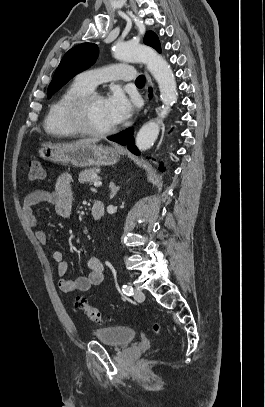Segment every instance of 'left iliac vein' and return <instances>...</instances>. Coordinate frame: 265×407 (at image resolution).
<instances>
[{
  "mask_svg": "<svg viewBox=\"0 0 265 407\" xmlns=\"http://www.w3.org/2000/svg\"><path fill=\"white\" fill-rule=\"evenodd\" d=\"M134 299L138 302H142L145 299V295L142 290L135 289L134 291Z\"/></svg>",
  "mask_w": 265,
  "mask_h": 407,
  "instance_id": "left-iliac-vein-1",
  "label": "left iliac vein"
}]
</instances>
